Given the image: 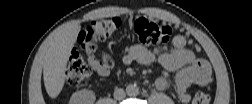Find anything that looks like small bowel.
<instances>
[{
    "label": "small bowel",
    "instance_id": "1",
    "mask_svg": "<svg viewBox=\"0 0 252 104\" xmlns=\"http://www.w3.org/2000/svg\"><path fill=\"white\" fill-rule=\"evenodd\" d=\"M156 59L164 69L177 71L174 87L177 98L183 103L190 99L188 89L191 85L202 86L211 80L210 65L187 48V40L182 35L176 36L171 45H161L152 51L142 45H134L124 56L123 62L126 65L135 62L149 65ZM88 63L100 76L110 73V69L94 56L88 57ZM155 85L158 90L164 91L169 87V81L161 76L156 79Z\"/></svg>",
    "mask_w": 252,
    "mask_h": 104
}]
</instances>
